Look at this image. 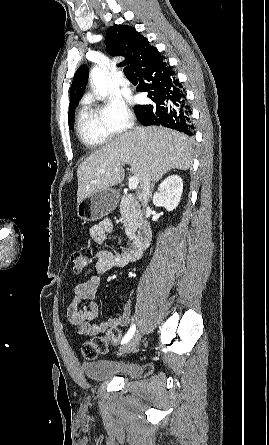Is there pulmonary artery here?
Segmentation results:
<instances>
[{"instance_id":"pulmonary-artery-1","label":"pulmonary artery","mask_w":269,"mask_h":445,"mask_svg":"<svg viewBox=\"0 0 269 445\" xmlns=\"http://www.w3.org/2000/svg\"><path fill=\"white\" fill-rule=\"evenodd\" d=\"M118 83L122 87H127L130 85V81L127 78H125L124 76L119 77Z\"/></svg>"}]
</instances>
